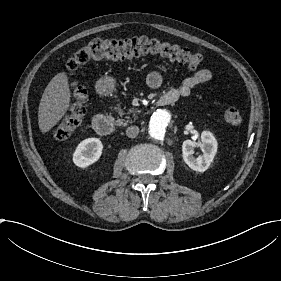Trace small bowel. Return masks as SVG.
Listing matches in <instances>:
<instances>
[{"mask_svg": "<svg viewBox=\"0 0 281 281\" xmlns=\"http://www.w3.org/2000/svg\"><path fill=\"white\" fill-rule=\"evenodd\" d=\"M210 77L211 74L208 70H198L193 76L184 79L179 83L177 87L166 93L162 98V102L164 104H170L175 102L177 99L188 97L194 89L208 82L210 80ZM162 84L163 79L158 72L152 71L147 75V85L149 86V88L156 90L160 88ZM154 103L156 105H159L161 103V100L159 98H156L154 100Z\"/></svg>", "mask_w": 281, "mask_h": 281, "instance_id": "obj_1", "label": "small bowel"}]
</instances>
